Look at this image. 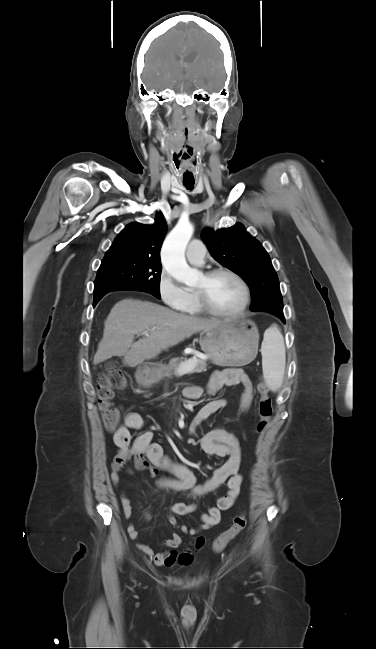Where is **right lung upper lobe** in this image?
Instances as JSON below:
<instances>
[{
  "label": "right lung upper lobe",
  "instance_id": "right-lung-upper-lobe-1",
  "mask_svg": "<svg viewBox=\"0 0 376 649\" xmlns=\"http://www.w3.org/2000/svg\"><path fill=\"white\" fill-rule=\"evenodd\" d=\"M167 230L162 213L153 225L133 222L115 238L105 255L134 254L160 260V249Z\"/></svg>",
  "mask_w": 376,
  "mask_h": 649
}]
</instances>
